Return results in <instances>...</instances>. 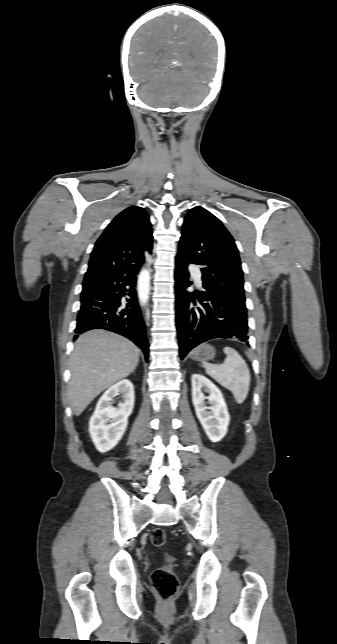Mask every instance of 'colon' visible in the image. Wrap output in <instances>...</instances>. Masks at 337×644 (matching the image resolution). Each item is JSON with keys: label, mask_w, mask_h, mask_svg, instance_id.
<instances>
[{"label": "colon", "mask_w": 337, "mask_h": 644, "mask_svg": "<svg viewBox=\"0 0 337 644\" xmlns=\"http://www.w3.org/2000/svg\"><path fill=\"white\" fill-rule=\"evenodd\" d=\"M151 543L155 547H162L166 541V535L163 529L156 528L150 535ZM152 586L160 600L167 604L175 596L179 589V580L174 570L172 557H168L167 563L152 573Z\"/></svg>", "instance_id": "obj_1"}]
</instances>
